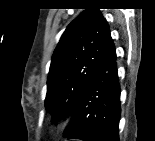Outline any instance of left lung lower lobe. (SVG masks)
I'll return each instance as SVG.
<instances>
[{"instance_id": "obj_1", "label": "left lung lower lobe", "mask_w": 155, "mask_h": 141, "mask_svg": "<svg viewBox=\"0 0 155 141\" xmlns=\"http://www.w3.org/2000/svg\"><path fill=\"white\" fill-rule=\"evenodd\" d=\"M120 115L116 51L111 41L73 111L74 120L65 136L82 141H119Z\"/></svg>"}]
</instances>
